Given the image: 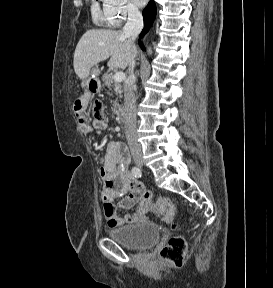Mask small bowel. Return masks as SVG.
Here are the masks:
<instances>
[{
	"instance_id": "obj_1",
	"label": "small bowel",
	"mask_w": 273,
	"mask_h": 288,
	"mask_svg": "<svg viewBox=\"0 0 273 288\" xmlns=\"http://www.w3.org/2000/svg\"><path fill=\"white\" fill-rule=\"evenodd\" d=\"M91 123L81 124V131L88 135L94 129H105L107 121L103 115L93 114ZM130 160L126 146L118 141H108L105 147L103 165L100 169V176L103 180L101 200L103 210L110 227H118L126 224L140 223L145 220L144 214L147 204L153 200L152 192L146 190L129 171ZM118 203L115 204V201ZM139 203L133 213L123 216L117 214V208L123 210L132 209Z\"/></svg>"
}]
</instances>
